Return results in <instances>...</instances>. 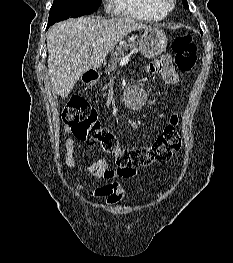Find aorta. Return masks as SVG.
<instances>
[{"mask_svg": "<svg viewBox=\"0 0 233 263\" xmlns=\"http://www.w3.org/2000/svg\"><path fill=\"white\" fill-rule=\"evenodd\" d=\"M128 103L132 108H139L142 105V98L138 95L136 90L130 93Z\"/></svg>", "mask_w": 233, "mask_h": 263, "instance_id": "aorta-1", "label": "aorta"}]
</instances>
